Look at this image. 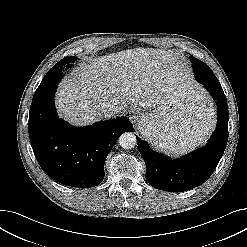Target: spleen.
I'll return each mask as SVG.
<instances>
[{
	"label": "spleen",
	"instance_id": "spleen-1",
	"mask_svg": "<svg viewBox=\"0 0 247 247\" xmlns=\"http://www.w3.org/2000/svg\"><path fill=\"white\" fill-rule=\"evenodd\" d=\"M211 126L207 128V130H210Z\"/></svg>",
	"mask_w": 247,
	"mask_h": 247
}]
</instances>
